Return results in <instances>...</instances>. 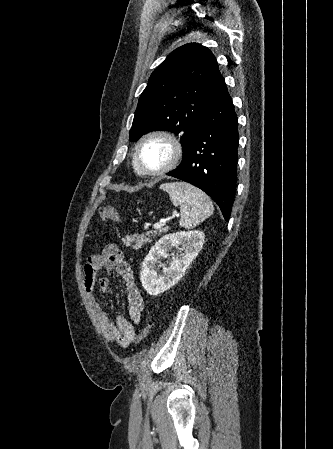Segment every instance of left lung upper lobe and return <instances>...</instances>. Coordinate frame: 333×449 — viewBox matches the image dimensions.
<instances>
[{
	"label": "left lung upper lobe",
	"mask_w": 333,
	"mask_h": 449,
	"mask_svg": "<svg viewBox=\"0 0 333 449\" xmlns=\"http://www.w3.org/2000/svg\"><path fill=\"white\" fill-rule=\"evenodd\" d=\"M225 87L207 47L189 43L175 49L153 71L140 96L130 140L156 129L171 131L180 139L183 162L195 131Z\"/></svg>",
	"instance_id": "left-lung-upper-lobe-1"
}]
</instances>
